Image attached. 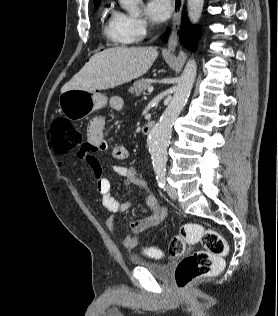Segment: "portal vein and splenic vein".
Wrapping results in <instances>:
<instances>
[{
  "instance_id": "obj_1",
  "label": "portal vein and splenic vein",
  "mask_w": 278,
  "mask_h": 316,
  "mask_svg": "<svg viewBox=\"0 0 278 316\" xmlns=\"http://www.w3.org/2000/svg\"><path fill=\"white\" fill-rule=\"evenodd\" d=\"M153 90H154V87L153 86H149L148 92L151 93V92H153Z\"/></svg>"
}]
</instances>
